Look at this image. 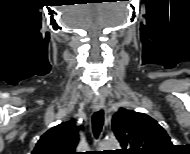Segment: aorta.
Returning <instances> with one entry per match:
<instances>
[{
  "instance_id": "1",
  "label": "aorta",
  "mask_w": 190,
  "mask_h": 154,
  "mask_svg": "<svg viewBox=\"0 0 190 154\" xmlns=\"http://www.w3.org/2000/svg\"><path fill=\"white\" fill-rule=\"evenodd\" d=\"M119 148V142L116 139H106L99 144V149L103 150H116Z\"/></svg>"
}]
</instances>
